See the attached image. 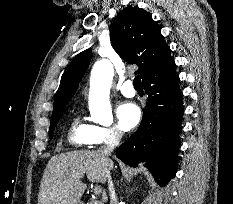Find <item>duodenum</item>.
Instances as JSON below:
<instances>
[{"instance_id":"410a0bca","label":"duodenum","mask_w":233,"mask_h":204,"mask_svg":"<svg viewBox=\"0 0 233 204\" xmlns=\"http://www.w3.org/2000/svg\"><path fill=\"white\" fill-rule=\"evenodd\" d=\"M80 204H85V203H80ZM95 204H98V203H95Z\"/></svg>"}]
</instances>
